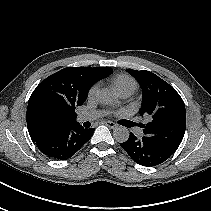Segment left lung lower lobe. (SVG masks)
Returning a JSON list of instances; mask_svg holds the SVG:
<instances>
[{"label":"left lung lower lobe","mask_w":211,"mask_h":211,"mask_svg":"<svg viewBox=\"0 0 211 211\" xmlns=\"http://www.w3.org/2000/svg\"><path fill=\"white\" fill-rule=\"evenodd\" d=\"M120 145L136 163L142 166H156L171 156L145 137L137 138L133 133H130L128 140Z\"/></svg>","instance_id":"1"}]
</instances>
